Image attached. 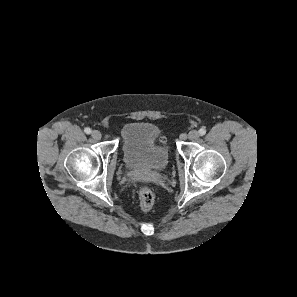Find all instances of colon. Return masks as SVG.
<instances>
[{"label": "colon", "instance_id": "colon-1", "mask_svg": "<svg viewBox=\"0 0 297 297\" xmlns=\"http://www.w3.org/2000/svg\"><path fill=\"white\" fill-rule=\"evenodd\" d=\"M163 143V141H161ZM154 204V194L148 187H143L139 192V205L143 212L151 210Z\"/></svg>", "mask_w": 297, "mask_h": 297}]
</instances>
